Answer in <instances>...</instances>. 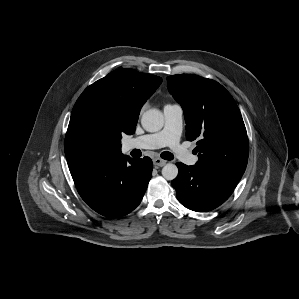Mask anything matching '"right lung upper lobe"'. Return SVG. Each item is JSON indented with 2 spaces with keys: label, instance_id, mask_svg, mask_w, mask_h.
Listing matches in <instances>:
<instances>
[{
  "label": "right lung upper lobe",
  "instance_id": "cb5924a9",
  "mask_svg": "<svg viewBox=\"0 0 299 299\" xmlns=\"http://www.w3.org/2000/svg\"><path fill=\"white\" fill-rule=\"evenodd\" d=\"M161 82L158 76L129 68L118 69L87 87L78 100L95 98L114 106L126 134L131 135L135 131L142 105ZM120 153L121 148L116 154Z\"/></svg>",
  "mask_w": 299,
  "mask_h": 299
}]
</instances>
